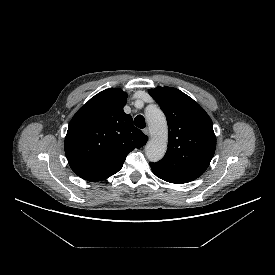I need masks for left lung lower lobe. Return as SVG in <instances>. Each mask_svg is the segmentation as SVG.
Instances as JSON below:
<instances>
[{"label":"left lung lower lobe","mask_w":275,"mask_h":275,"mask_svg":"<svg viewBox=\"0 0 275 275\" xmlns=\"http://www.w3.org/2000/svg\"><path fill=\"white\" fill-rule=\"evenodd\" d=\"M150 166H151L153 173L162 180H165L170 183H175V184H183V183L190 182V180H188L184 177L172 174L170 172L164 171V170L154 166L152 163H150Z\"/></svg>","instance_id":"left-lung-lower-lobe-1"}]
</instances>
